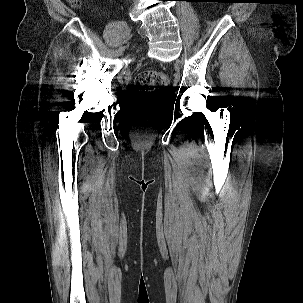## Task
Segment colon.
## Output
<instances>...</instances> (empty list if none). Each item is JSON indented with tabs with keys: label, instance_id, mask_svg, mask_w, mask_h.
Masks as SVG:
<instances>
[{
	"label": "colon",
	"instance_id": "5ec220e1",
	"mask_svg": "<svg viewBox=\"0 0 303 303\" xmlns=\"http://www.w3.org/2000/svg\"><path fill=\"white\" fill-rule=\"evenodd\" d=\"M68 2L74 7L80 4V0ZM135 85L139 91L134 96V104L140 117L147 120L149 115L166 102L167 95L158 89L167 87L168 77L163 72L144 70L137 75Z\"/></svg>",
	"mask_w": 303,
	"mask_h": 303
}]
</instances>
